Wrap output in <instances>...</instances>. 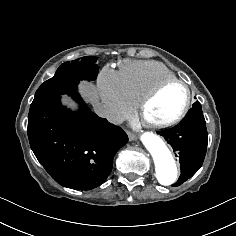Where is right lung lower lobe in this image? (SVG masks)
<instances>
[{
  "mask_svg": "<svg viewBox=\"0 0 236 236\" xmlns=\"http://www.w3.org/2000/svg\"><path fill=\"white\" fill-rule=\"evenodd\" d=\"M69 95L79 102L78 112L63 107L61 96L30 107L28 138L36 158L57 183L89 190L111 173L113 158L128 136L91 112L77 92Z\"/></svg>",
  "mask_w": 236,
  "mask_h": 236,
  "instance_id": "right-lung-lower-lobe-1",
  "label": "right lung lower lobe"
}]
</instances>
